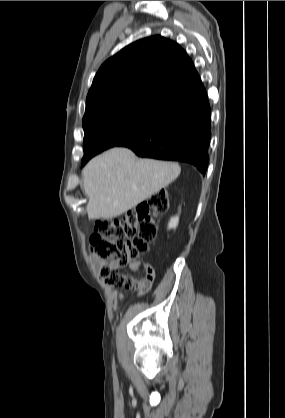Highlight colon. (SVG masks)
<instances>
[{
    "mask_svg": "<svg viewBox=\"0 0 285 418\" xmlns=\"http://www.w3.org/2000/svg\"><path fill=\"white\" fill-rule=\"evenodd\" d=\"M169 209V192L160 190L121 218L98 220L89 237V250L100 262V278L111 286L125 285L120 274L149 251L158 236L155 218ZM136 288L142 291L139 285Z\"/></svg>",
    "mask_w": 285,
    "mask_h": 418,
    "instance_id": "1",
    "label": "colon"
}]
</instances>
